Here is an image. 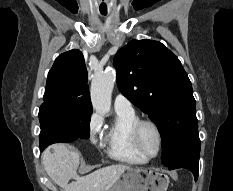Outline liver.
I'll return each instance as SVG.
<instances>
[{
  "label": "liver",
  "mask_w": 233,
  "mask_h": 191,
  "mask_svg": "<svg viewBox=\"0 0 233 191\" xmlns=\"http://www.w3.org/2000/svg\"><path fill=\"white\" fill-rule=\"evenodd\" d=\"M79 160V152L66 144H54L42 154L46 173L63 191H102L129 168L122 164L111 165L80 177L77 174ZM71 179L74 181L69 183Z\"/></svg>",
  "instance_id": "obj_1"
}]
</instances>
